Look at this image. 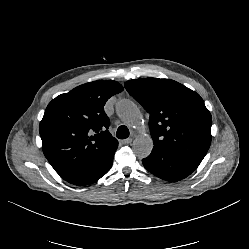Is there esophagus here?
<instances>
[{
  "mask_svg": "<svg viewBox=\"0 0 249 249\" xmlns=\"http://www.w3.org/2000/svg\"><path fill=\"white\" fill-rule=\"evenodd\" d=\"M131 142H132V138H127V139L121 141V143H122L123 145H128V144L131 143Z\"/></svg>",
  "mask_w": 249,
  "mask_h": 249,
  "instance_id": "34e87169",
  "label": "esophagus"
}]
</instances>
